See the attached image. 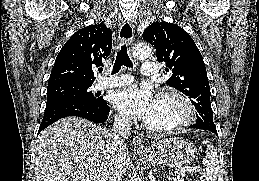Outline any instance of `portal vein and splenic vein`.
Instances as JSON below:
<instances>
[{
	"label": "portal vein and splenic vein",
	"instance_id": "obj_1",
	"mask_svg": "<svg viewBox=\"0 0 259 181\" xmlns=\"http://www.w3.org/2000/svg\"><path fill=\"white\" fill-rule=\"evenodd\" d=\"M202 169L198 166L196 167H185L177 171V175L183 177L185 175V172H198L201 171Z\"/></svg>",
	"mask_w": 259,
	"mask_h": 181
}]
</instances>
